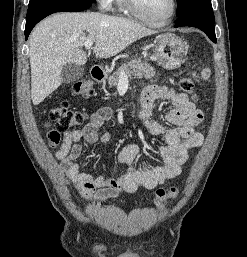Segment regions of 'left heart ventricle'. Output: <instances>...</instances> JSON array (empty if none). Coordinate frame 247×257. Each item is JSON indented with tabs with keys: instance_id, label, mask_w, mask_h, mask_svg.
I'll return each instance as SVG.
<instances>
[{
	"instance_id": "obj_1",
	"label": "left heart ventricle",
	"mask_w": 247,
	"mask_h": 257,
	"mask_svg": "<svg viewBox=\"0 0 247 257\" xmlns=\"http://www.w3.org/2000/svg\"><path fill=\"white\" fill-rule=\"evenodd\" d=\"M141 12L148 18L161 21L171 10V0H136Z\"/></svg>"
}]
</instances>
